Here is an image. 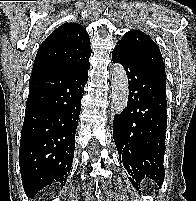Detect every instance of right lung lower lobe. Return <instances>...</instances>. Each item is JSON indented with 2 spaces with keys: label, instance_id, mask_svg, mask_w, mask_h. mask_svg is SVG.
I'll list each match as a JSON object with an SVG mask.
<instances>
[{
  "label": "right lung lower lobe",
  "instance_id": "obj_1",
  "mask_svg": "<svg viewBox=\"0 0 196 201\" xmlns=\"http://www.w3.org/2000/svg\"><path fill=\"white\" fill-rule=\"evenodd\" d=\"M90 65L31 76L21 131L19 163L25 192L33 198L71 170L75 133Z\"/></svg>",
  "mask_w": 196,
  "mask_h": 201
}]
</instances>
